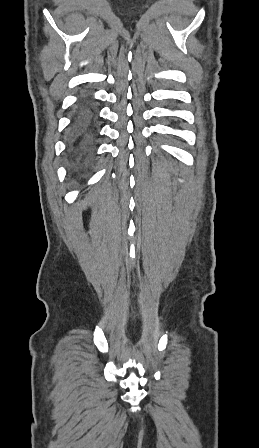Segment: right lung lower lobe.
Returning a JSON list of instances; mask_svg holds the SVG:
<instances>
[{"label": "right lung lower lobe", "mask_w": 259, "mask_h": 448, "mask_svg": "<svg viewBox=\"0 0 259 448\" xmlns=\"http://www.w3.org/2000/svg\"><path fill=\"white\" fill-rule=\"evenodd\" d=\"M96 139V111L92 100L85 97L77 104L67 132L66 156L73 176H82L92 167Z\"/></svg>", "instance_id": "1"}]
</instances>
